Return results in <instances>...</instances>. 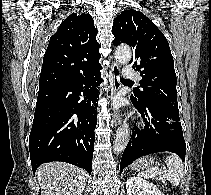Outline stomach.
<instances>
[{"mask_svg":"<svg viewBox=\"0 0 211 195\" xmlns=\"http://www.w3.org/2000/svg\"><path fill=\"white\" fill-rule=\"evenodd\" d=\"M154 164V158L151 156H145L138 159L134 164L133 168L135 170H149Z\"/></svg>","mask_w":211,"mask_h":195,"instance_id":"obj_1","label":"stomach"}]
</instances>
